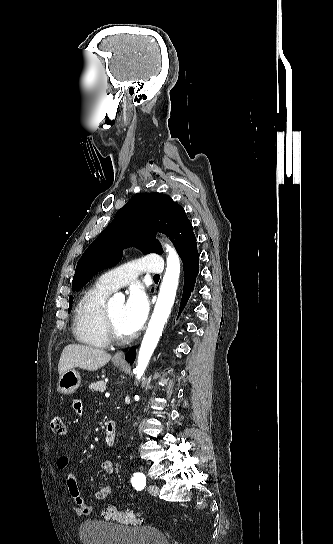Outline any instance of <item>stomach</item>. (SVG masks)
I'll use <instances>...</instances> for the list:
<instances>
[{"instance_id": "1", "label": "stomach", "mask_w": 333, "mask_h": 544, "mask_svg": "<svg viewBox=\"0 0 333 544\" xmlns=\"http://www.w3.org/2000/svg\"><path fill=\"white\" fill-rule=\"evenodd\" d=\"M116 367H121L122 364L114 363ZM81 377L77 370L69 369L65 371L58 380V390L63 394H71L79 387Z\"/></svg>"}]
</instances>
